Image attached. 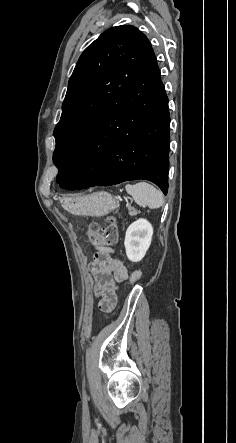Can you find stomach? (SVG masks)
Returning <instances> with one entry per match:
<instances>
[{"mask_svg":"<svg viewBox=\"0 0 236 443\" xmlns=\"http://www.w3.org/2000/svg\"><path fill=\"white\" fill-rule=\"evenodd\" d=\"M62 205L73 214L104 216L117 208L118 202L111 194L102 191L66 199Z\"/></svg>","mask_w":236,"mask_h":443,"instance_id":"1","label":"stomach"}]
</instances>
